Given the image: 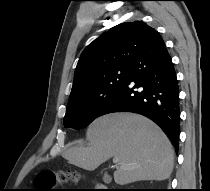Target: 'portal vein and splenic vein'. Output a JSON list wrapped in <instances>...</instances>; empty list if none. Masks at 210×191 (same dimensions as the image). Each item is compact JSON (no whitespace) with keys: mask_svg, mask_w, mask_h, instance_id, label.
<instances>
[{"mask_svg":"<svg viewBox=\"0 0 210 191\" xmlns=\"http://www.w3.org/2000/svg\"><path fill=\"white\" fill-rule=\"evenodd\" d=\"M118 161H119V158H118V157H114V158H113V163H116V164H117Z\"/></svg>","mask_w":210,"mask_h":191,"instance_id":"1","label":"portal vein and splenic vein"}]
</instances>
